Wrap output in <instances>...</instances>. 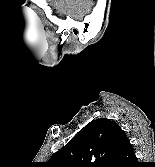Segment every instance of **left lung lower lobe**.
Returning <instances> with one entry per match:
<instances>
[{
  "label": "left lung lower lobe",
  "instance_id": "1",
  "mask_svg": "<svg viewBox=\"0 0 155 167\" xmlns=\"http://www.w3.org/2000/svg\"><path fill=\"white\" fill-rule=\"evenodd\" d=\"M131 160H134V153L133 148L127 139L122 143L118 157L113 167L127 166Z\"/></svg>",
  "mask_w": 155,
  "mask_h": 167
}]
</instances>
